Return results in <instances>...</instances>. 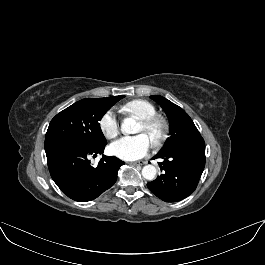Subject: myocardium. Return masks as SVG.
Segmentation results:
<instances>
[{"mask_svg":"<svg viewBox=\"0 0 265 265\" xmlns=\"http://www.w3.org/2000/svg\"><path fill=\"white\" fill-rule=\"evenodd\" d=\"M143 127L151 133V141L155 146L160 145L167 136V123L158 116L141 119Z\"/></svg>","mask_w":265,"mask_h":265,"instance_id":"1","label":"myocardium"}]
</instances>
